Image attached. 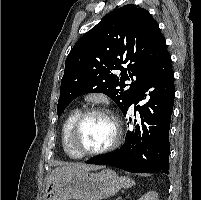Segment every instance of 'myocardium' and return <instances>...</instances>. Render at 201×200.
<instances>
[{
	"label": "myocardium",
	"mask_w": 201,
	"mask_h": 200,
	"mask_svg": "<svg viewBox=\"0 0 201 200\" xmlns=\"http://www.w3.org/2000/svg\"><path fill=\"white\" fill-rule=\"evenodd\" d=\"M92 115H103V116L109 118L114 127V134H113L112 140L103 148L98 149V150H93V151H83L77 145L76 136H77V132H78L79 127L82 124V122L86 118H88ZM120 138H121V127H120V123H119V120L116 117V115L105 107L93 106V107L83 110L77 116V118L75 119V121L73 122V124L69 130L68 143H69V146H70L71 150L73 151V153L78 158H83V157L98 156V155H102V154L111 152L118 146V144L120 142Z\"/></svg>",
	"instance_id": "1"
}]
</instances>
